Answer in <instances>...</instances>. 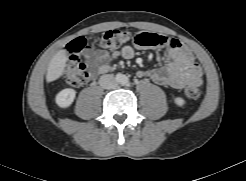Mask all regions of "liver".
Segmentation results:
<instances>
[{
  "mask_svg": "<svg viewBox=\"0 0 246 181\" xmlns=\"http://www.w3.org/2000/svg\"><path fill=\"white\" fill-rule=\"evenodd\" d=\"M66 62L67 54L65 50H60L53 56L47 69L46 81L48 83L59 79L63 75Z\"/></svg>",
  "mask_w": 246,
  "mask_h": 181,
  "instance_id": "obj_1",
  "label": "liver"
}]
</instances>
